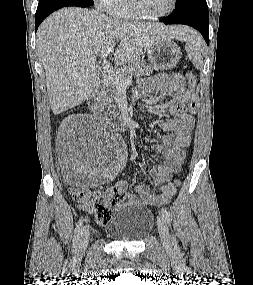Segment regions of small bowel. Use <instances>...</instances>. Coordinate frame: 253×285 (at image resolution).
Returning a JSON list of instances; mask_svg holds the SVG:
<instances>
[{
	"label": "small bowel",
	"instance_id": "1",
	"mask_svg": "<svg viewBox=\"0 0 253 285\" xmlns=\"http://www.w3.org/2000/svg\"><path fill=\"white\" fill-rule=\"evenodd\" d=\"M153 92H159L164 96L172 119L160 123L159 127L163 132L162 144L152 146L155 152L165 157V161L156 165L149 171V174L155 184L163 186L157 193H154L148 185L138 183L135 185L138 196L132 193L127 196L129 204L141 206L166 204L176 193L177 184L171 189L167 188L169 184H164L181 169L194 127V118L186 113L185 108L191 93L184 88L182 75L177 73L171 76L160 74L141 79L133 89V98L137 101ZM65 149H67L66 146ZM126 187L127 183L123 180L116 182L114 186L124 192Z\"/></svg>",
	"mask_w": 253,
	"mask_h": 285
}]
</instances>
